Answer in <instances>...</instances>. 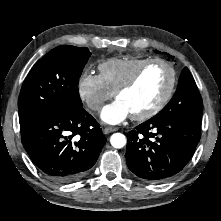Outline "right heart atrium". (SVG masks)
<instances>
[{"label":"right heart atrium","instance_id":"1","mask_svg":"<svg viewBox=\"0 0 221 221\" xmlns=\"http://www.w3.org/2000/svg\"><path fill=\"white\" fill-rule=\"evenodd\" d=\"M77 91L81 100L92 111H100L104 103L112 98L113 92L97 74L83 73L77 82Z\"/></svg>","mask_w":221,"mask_h":221}]
</instances>
